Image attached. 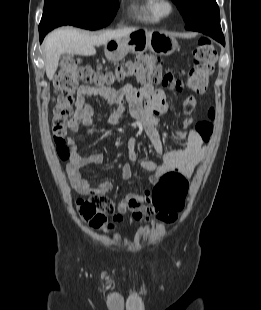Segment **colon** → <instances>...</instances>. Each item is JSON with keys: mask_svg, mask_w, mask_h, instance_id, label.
<instances>
[{"mask_svg": "<svg viewBox=\"0 0 261 310\" xmlns=\"http://www.w3.org/2000/svg\"><path fill=\"white\" fill-rule=\"evenodd\" d=\"M216 51L210 40L201 38L192 52V66L185 72L177 74L170 69H163L162 61L155 56H141L123 64L114 72H107L89 64H81L80 60L68 58L61 62L55 76L57 94L54 97L52 130L57 152L61 159L69 157V149L65 145V136L69 118L72 113L73 91L79 81L103 86L115 80L133 76L142 83H160L170 90L181 91L185 88L202 94L208 86V78L214 70ZM210 119L215 117L213 108L209 109ZM196 131L203 139L208 140L213 132L211 121H200ZM189 184L184 175L171 171L164 174L155 186L151 199L159 210L157 219L165 223H173L183 210L188 194ZM80 217L94 228L105 226L113 214V203L105 195L95 194L77 202ZM116 220V216L113 217ZM112 227L111 224L108 225Z\"/></svg>", "mask_w": 261, "mask_h": 310, "instance_id": "obj_1", "label": "colon"}]
</instances>
